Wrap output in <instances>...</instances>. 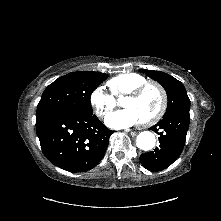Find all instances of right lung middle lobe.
<instances>
[{
	"label": "right lung middle lobe",
	"mask_w": 221,
	"mask_h": 221,
	"mask_svg": "<svg viewBox=\"0 0 221 221\" xmlns=\"http://www.w3.org/2000/svg\"><path fill=\"white\" fill-rule=\"evenodd\" d=\"M107 77L105 73L77 71L58 78L42 94L36 120L64 110L92 114L91 94Z\"/></svg>",
	"instance_id": "1"
}]
</instances>
